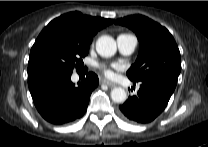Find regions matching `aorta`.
<instances>
[{"label": "aorta", "mask_w": 208, "mask_h": 147, "mask_svg": "<svg viewBox=\"0 0 208 147\" xmlns=\"http://www.w3.org/2000/svg\"><path fill=\"white\" fill-rule=\"evenodd\" d=\"M117 46L115 40L108 35H103L96 42V51L102 57H111L116 53ZM111 99L115 103H123L127 99L126 91L121 87H116L111 91Z\"/></svg>", "instance_id": "1"}]
</instances>
